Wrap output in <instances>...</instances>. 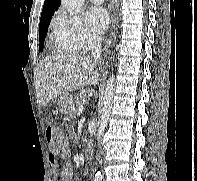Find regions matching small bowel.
Listing matches in <instances>:
<instances>
[{
	"mask_svg": "<svg viewBox=\"0 0 197 181\" xmlns=\"http://www.w3.org/2000/svg\"><path fill=\"white\" fill-rule=\"evenodd\" d=\"M69 155V146L68 144H63L61 150H60V156L62 158H67ZM50 161V167H51V175L53 179L55 180L58 175V163L54 156V154H51L49 156ZM60 178L62 181H73L74 178V171L69 163H66L61 171H60Z\"/></svg>",
	"mask_w": 197,
	"mask_h": 181,
	"instance_id": "small-bowel-1",
	"label": "small bowel"
}]
</instances>
